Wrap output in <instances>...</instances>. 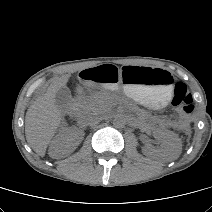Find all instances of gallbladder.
I'll return each instance as SVG.
<instances>
[{
	"label": "gallbladder",
	"instance_id": "gallbladder-1",
	"mask_svg": "<svg viewBox=\"0 0 212 212\" xmlns=\"http://www.w3.org/2000/svg\"><path fill=\"white\" fill-rule=\"evenodd\" d=\"M70 101H71V92H70L69 88L66 86L61 87L56 92V95H55L56 105L59 108L64 109V108H66V106L69 104Z\"/></svg>",
	"mask_w": 212,
	"mask_h": 212
}]
</instances>
